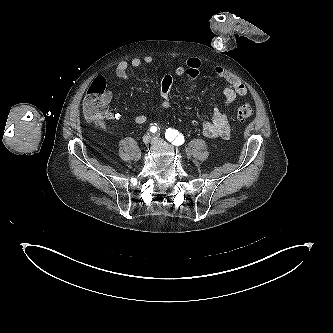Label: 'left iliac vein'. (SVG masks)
Returning <instances> with one entry per match:
<instances>
[{
    "label": "left iliac vein",
    "mask_w": 333,
    "mask_h": 333,
    "mask_svg": "<svg viewBox=\"0 0 333 333\" xmlns=\"http://www.w3.org/2000/svg\"><path fill=\"white\" fill-rule=\"evenodd\" d=\"M152 142H153L154 144H158V143H163V140L160 139V138H158V137H154L153 140H152Z\"/></svg>",
    "instance_id": "left-iliac-vein-1"
}]
</instances>
